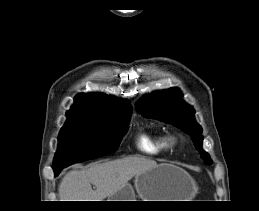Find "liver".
Masks as SVG:
<instances>
[{
	"instance_id": "obj_1",
	"label": "liver",
	"mask_w": 259,
	"mask_h": 211,
	"mask_svg": "<svg viewBox=\"0 0 259 211\" xmlns=\"http://www.w3.org/2000/svg\"><path fill=\"white\" fill-rule=\"evenodd\" d=\"M156 166L154 160L131 156L94 163L86 170H71L59 184L60 201H103L132 177Z\"/></svg>"
}]
</instances>
